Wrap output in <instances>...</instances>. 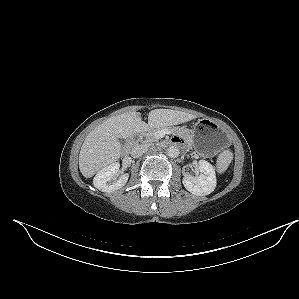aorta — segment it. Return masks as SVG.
Here are the masks:
<instances>
[{
  "instance_id": "1",
  "label": "aorta",
  "mask_w": 299,
  "mask_h": 299,
  "mask_svg": "<svg viewBox=\"0 0 299 299\" xmlns=\"http://www.w3.org/2000/svg\"><path fill=\"white\" fill-rule=\"evenodd\" d=\"M180 154V150L177 146L172 145L167 148V155L171 158H176Z\"/></svg>"
}]
</instances>
